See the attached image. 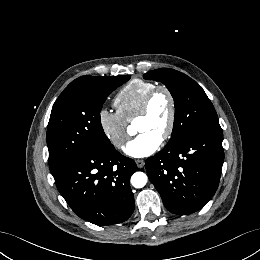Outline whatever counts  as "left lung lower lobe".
<instances>
[{
	"mask_svg": "<svg viewBox=\"0 0 260 260\" xmlns=\"http://www.w3.org/2000/svg\"><path fill=\"white\" fill-rule=\"evenodd\" d=\"M221 127L197 130L146 160L151 183L170 212L191 214L215 194L224 161Z\"/></svg>",
	"mask_w": 260,
	"mask_h": 260,
	"instance_id": "obj_1",
	"label": "left lung lower lobe"
}]
</instances>
